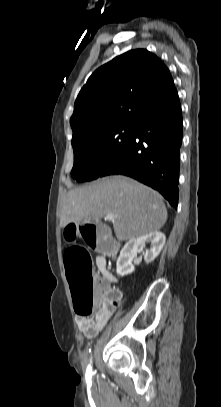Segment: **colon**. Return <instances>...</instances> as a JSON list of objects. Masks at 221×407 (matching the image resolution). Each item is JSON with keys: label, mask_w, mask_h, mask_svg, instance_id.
Segmentation results:
<instances>
[{"label": "colon", "mask_w": 221, "mask_h": 407, "mask_svg": "<svg viewBox=\"0 0 221 407\" xmlns=\"http://www.w3.org/2000/svg\"><path fill=\"white\" fill-rule=\"evenodd\" d=\"M69 226L68 230H62V239H75L76 234H79L85 246L96 249L97 255H112L114 235L106 222L85 220L80 225L78 220H71ZM65 269L75 311L79 316L88 317L105 304H116L114 296L99 287L98 279L93 274L90 254L84 247L76 245L66 251Z\"/></svg>", "instance_id": "colon-1"}]
</instances>
